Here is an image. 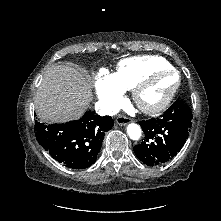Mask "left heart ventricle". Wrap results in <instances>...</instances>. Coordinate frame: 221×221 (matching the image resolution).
Segmentation results:
<instances>
[{
	"label": "left heart ventricle",
	"instance_id": "obj_1",
	"mask_svg": "<svg viewBox=\"0 0 221 221\" xmlns=\"http://www.w3.org/2000/svg\"><path fill=\"white\" fill-rule=\"evenodd\" d=\"M175 82V77L166 75L158 79L142 95V99L147 104H155L161 101L169 92Z\"/></svg>",
	"mask_w": 221,
	"mask_h": 221
}]
</instances>
